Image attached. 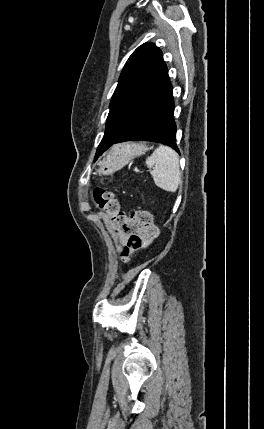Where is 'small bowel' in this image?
Returning <instances> with one entry per match:
<instances>
[{"label":"small bowel","mask_w":264,"mask_h":429,"mask_svg":"<svg viewBox=\"0 0 264 429\" xmlns=\"http://www.w3.org/2000/svg\"><path fill=\"white\" fill-rule=\"evenodd\" d=\"M129 234L126 232H123L119 235V239L121 242L126 243L128 241Z\"/></svg>","instance_id":"1"}]
</instances>
